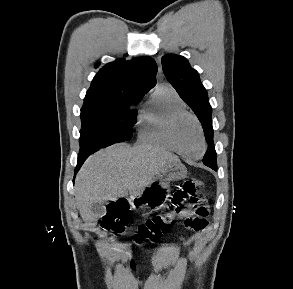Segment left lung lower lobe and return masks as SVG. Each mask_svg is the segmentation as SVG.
<instances>
[{
  "mask_svg": "<svg viewBox=\"0 0 293 289\" xmlns=\"http://www.w3.org/2000/svg\"><path fill=\"white\" fill-rule=\"evenodd\" d=\"M213 170H215V171H216V170H217V168H214Z\"/></svg>",
  "mask_w": 293,
  "mask_h": 289,
  "instance_id": "1",
  "label": "left lung lower lobe"
}]
</instances>
